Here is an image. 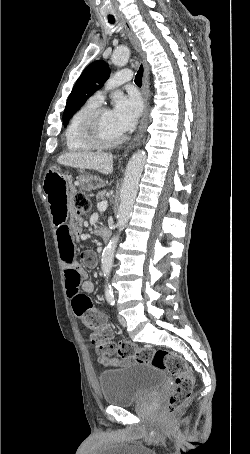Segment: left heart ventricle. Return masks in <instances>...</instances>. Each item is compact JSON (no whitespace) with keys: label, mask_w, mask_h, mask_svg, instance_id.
<instances>
[{"label":"left heart ventricle","mask_w":250,"mask_h":454,"mask_svg":"<svg viewBox=\"0 0 250 454\" xmlns=\"http://www.w3.org/2000/svg\"><path fill=\"white\" fill-rule=\"evenodd\" d=\"M100 131L105 139L118 138L122 133L117 129L111 111L105 112L100 119Z\"/></svg>","instance_id":"1"}]
</instances>
